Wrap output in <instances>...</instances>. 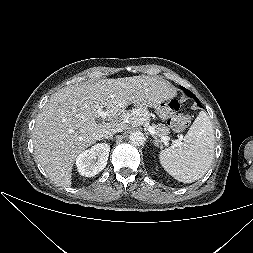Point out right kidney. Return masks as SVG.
I'll use <instances>...</instances> for the list:
<instances>
[{"label":"right kidney","instance_id":"1","mask_svg":"<svg viewBox=\"0 0 253 253\" xmlns=\"http://www.w3.org/2000/svg\"><path fill=\"white\" fill-rule=\"evenodd\" d=\"M110 145L100 143L83 151L76 158L78 172L85 177H92L101 172L107 164Z\"/></svg>","mask_w":253,"mask_h":253}]
</instances>
